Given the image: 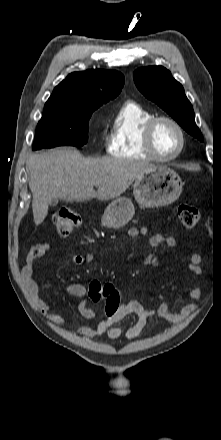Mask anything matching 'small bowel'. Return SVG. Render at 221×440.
Returning a JSON list of instances; mask_svg holds the SVG:
<instances>
[{
  "label": "small bowel",
  "mask_w": 221,
  "mask_h": 440,
  "mask_svg": "<svg viewBox=\"0 0 221 440\" xmlns=\"http://www.w3.org/2000/svg\"><path fill=\"white\" fill-rule=\"evenodd\" d=\"M128 237L130 239H135L139 235H146L147 229L145 227L136 228L131 227L128 230ZM149 243L152 248L158 249L161 245L166 244L170 247H177L178 240L172 236H164L161 234L153 235L149 239ZM50 245L46 242H37L33 244L27 254L25 264L21 271L22 281L32 299L35 303L39 311L47 315L48 318L57 325H61L66 323V318L59 313H50V305L39 298V286L33 279V273L35 270L36 261L46 254L50 252ZM96 261V256L92 253L88 254H74L72 256V263L76 266H84L88 264H92ZM201 258L197 253L189 254V263L187 265V269L195 274L201 275L202 269L199 266ZM145 263L158 266V256L156 253L149 255L145 259ZM89 284H81V283H69L64 285L63 290L68 295L81 298L82 301L79 304V312L80 314L87 318L92 319L95 316L93 310L87 307L88 290ZM159 299V304L155 309L148 310L144 308L142 303L138 300H124L121 301V305L118 306L119 313L118 315H113L112 321H103L100 320L96 325L93 326H81L75 329V332L83 337L93 338L100 337L103 335H107L110 339H117L121 336H124L127 340H133L137 338L148 321L153 318H159L166 320L171 323H181L183 319L193 313L197 305L195 303L186 304L179 309L173 310L171 307L164 301L163 297L160 295H155ZM201 297V290L198 288H194L189 290L186 293V298L191 300H198ZM134 314L137 316V321L128 326V327H120L117 324L122 321L127 316Z\"/></svg>",
  "instance_id": "c3829d8e"
}]
</instances>
